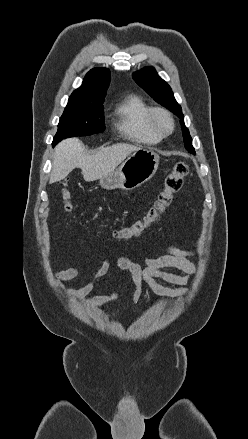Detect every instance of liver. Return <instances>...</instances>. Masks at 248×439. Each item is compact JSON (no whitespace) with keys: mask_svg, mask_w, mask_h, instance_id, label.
I'll use <instances>...</instances> for the list:
<instances>
[{"mask_svg":"<svg viewBox=\"0 0 248 439\" xmlns=\"http://www.w3.org/2000/svg\"><path fill=\"white\" fill-rule=\"evenodd\" d=\"M139 149L141 148L128 143H117L90 155L85 153V147L79 139L63 140L55 147L49 182L63 180L75 168L82 170L83 178L87 182L101 179Z\"/></svg>","mask_w":248,"mask_h":439,"instance_id":"liver-1","label":"liver"}]
</instances>
